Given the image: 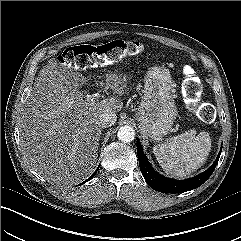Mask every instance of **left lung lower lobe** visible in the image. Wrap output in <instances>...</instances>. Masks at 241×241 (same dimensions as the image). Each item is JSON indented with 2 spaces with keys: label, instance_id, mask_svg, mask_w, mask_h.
I'll return each mask as SVG.
<instances>
[{
  "label": "left lung lower lobe",
  "instance_id": "obj_1",
  "mask_svg": "<svg viewBox=\"0 0 241 241\" xmlns=\"http://www.w3.org/2000/svg\"><path fill=\"white\" fill-rule=\"evenodd\" d=\"M221 151H222V148L216 160L211 165V167L206 171H204L203 173L190 179L175 180V179L165 178L164 176H161L160 174H158L153 170V168L151 167L150 163L148 162L142 150V146L140 142L137 141V155H138L139 166H140L142 175L144 176L145 180L150 185V187L162 193H182V192L193 190L199 187L200 185H202L213 173L218 163Z\"/></svg>",
  "mask_w": 241,
  "mask_h": 241
}]
</instances>
